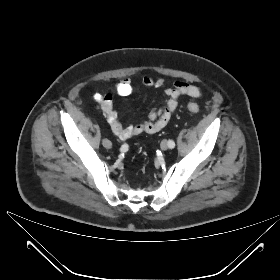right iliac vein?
Wrapping results in <instances>:
<instances>
[{"instance_id":"obj_1","label":"right iliac vein","mask_w":280,"mask_h":280,"mask_svg":"<svg viewBox=\"0 0 280 280\" xmlns=\"http://www.w3.org/2000/svg\"><path fill=\"white\" fill-rule=\"evenodd\" d=\"M102 144L105 148L110 149L112 147V143L111 141H109L108 139H103L102 140Z\"/></svg>"}]
</instances>
